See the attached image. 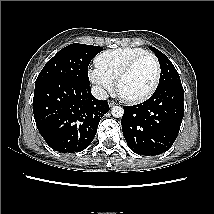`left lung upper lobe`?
<instances>
[{"instance_id": "obj_1", "label": "left lung upper lobe", "mask_w": 214, "mask_h": 214, "mask_svg": "<svg viewBox=\"0 0 214 214\" xmlns=\"http://www.w3.org/2000/svg\"><path fill=\"white\" fill-rule=\"evenodd\" d=\"M149 48L157 56L161 67L159 85L157 86L156 89H160L173 83H181L179 74L175 67L173 66L172 62L158 49L151 46Z\"/></svg>"}]
</instances>
